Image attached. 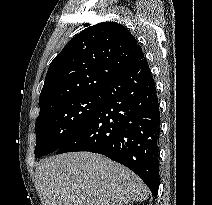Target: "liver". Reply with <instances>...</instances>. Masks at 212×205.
Segmentation results:
<instances>
[{"mask_svg":"<svg viewBox=\"0 0 212 205\" xmlns=\"http://www.w3.org/2000/svg\"><path fill=\"white\" fill-rule=\"evenodd\" d=\"M42 205H124L149 191L131 170L101 154L69 152L36 167Z\"/></svg>","mask_w":212,"mask_h":205,"instance_id":"6515ba94","label":"liver"}]
</instances>
